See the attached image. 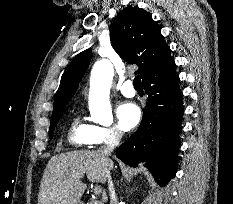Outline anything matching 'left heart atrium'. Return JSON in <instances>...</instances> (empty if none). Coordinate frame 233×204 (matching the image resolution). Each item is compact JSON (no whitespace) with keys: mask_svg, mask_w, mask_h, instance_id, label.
I'll use <instances>...</instances> for the list:
<instances>
[{"mask_svg":"<svg viewBox=\"0 0 233 204\" xmlns=\"http://www.w3.org/2000/svg\"><path fill=\"white\" fill-rule=\"evenodd\" d=\"M119 126L124 131L133 129L141 120L140 108L131 102L121 104L116 111Z\"/></svg>","mask_w":233,"mask_h":204,"instance_id":"1","label":"left heart atrium"}]
</instances>
